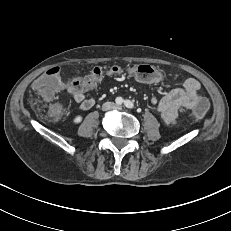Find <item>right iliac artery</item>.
Returning <instances> with one entry per match:
<instances>
[{
    "mask_svg": "<svg viewBox=\"0 0 231 231\" xmlns=\"http://www.w3.org/2000/svg\"><path fill=\"white\" fill-rule=\"evenodd\" d=\"M116 103H117L118 105H121V104L123 103V99H122L121 97H117V98H116Z\"/></svg>",
    "mask_w": 231,
    "mask_h": 231,
    "instance_id": "obj_1",
    "label": "right iliac artery"
}]
</instances>
